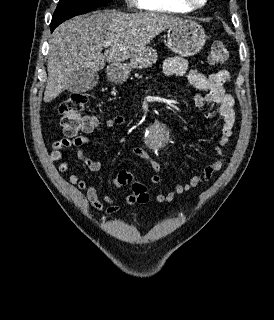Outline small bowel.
I'll list each match as a JSON object with an SVG mask.
<instances>
[{
  "instance_id": "small-bowel-1",
  "label": "small bowel",
  "mask_w": 274,
  "mask_h": 320,
  "mask_svg": "<svg viewBox=\"0 0 274 320\" xmlns=\"http://www.w3.org/2000/svg\"><path fill=\"white\" fill-rule=\"evenodd\" d=\"M164 73L169 76L187 75L189 83L196 89L206 91L205 94H197L193 98L196 107L203 108L210 104H216L219 113L223 119L221 127V135L214 145L215 160L206 166L202 171L196 173L191 179L183 184H178L168 193H159L156 195V201L159 203H171L177 196L183 195L194 189L201 183L207 181L213 174L219 172L225 165L226 157L223 154L222 147L226 145L233 136L234 127L236 124L235 100L226 91L225 85L231 80V73L222 69L209 75L203 74L196 69H188L187 61L180 56H172L164 62ZM126 120L123 116H115L102 121V119H87L85 124L90 126L84 132L102 131L104 124L105 128L112 130L116 127L123 126ZM91 144V139L87 136H78L72 139L63 138L55 141L51 148L50 160L52 162L61 161L63 159V150L69 147H77V157L92 172L100 171L102 164L100 161L91 159L86 156L81 149L82 146ZM132 152L148 162L153 174L150 178L151 183L158 184L161 181V166L155 161L145 150L135 147ZM69 169L68 161H62L58 166V171L64 173ZM129 172L122 170L120 172ZM69 182L81 192H84L87 201L96 211L110 215L120 210L121 204L132 205L135 203L131 195H126L121 199L115 198L108 194H100L98 189L89 185L85 180L80 179L76 174L69 176ZM115 187H122L117 178L112 180Z\"/></svg>"
}]
</instances>
